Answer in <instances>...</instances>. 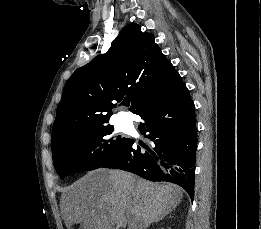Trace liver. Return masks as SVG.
I'll use <instances>...</instances> for the list:
<instances>
[{
	"label": "liver",
	"instance_id": "liver-1",
	"mask_svg": "<svg viewBox=\"0 0 261 229\" xmlns=\"http://www.w3.org/2000/svg\"><path fill=\"white\" fill-rule=\"evenodd\" d=\"M181 187L150 183L133 173L96 169L68 187L62 199L68 227L112 229L125 219L128 229H147L181 203Z\"/></svg>",
	"mask_w": 261,
	"mask_h": 229
}]
</instances>
